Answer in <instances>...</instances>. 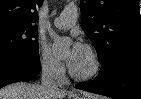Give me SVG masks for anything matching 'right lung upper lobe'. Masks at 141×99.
<instances>
[{"label":"right lung upper lobe","instance_id":"right-lung-upper-lobe-1","mask_svg":"<svg viewBox=\"0 0 141 99\" xmlns=\"http://www.w3.org/2000/svg\"><path fill=\"white\" fill-rule=\"evenodd\" d=\"M43 0H0V24H33L38 20L36 8Z\"/></svg>","mask_w":141,"mask_h":99}]
</instances>
